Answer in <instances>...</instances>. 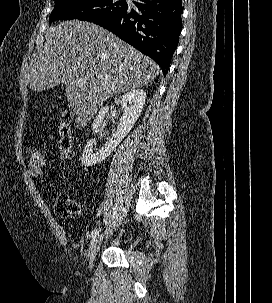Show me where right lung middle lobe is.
Listing matches in <instances>:
<instances>
[{
	"mask_svg": "<svg viewBox=\"0 0 272 303\" xmlns=\"http://www.w3.org/2000/svg\"><path fill=\"white\" fill-rule=\"evenodd\" d=\"M127 8L125 0H56L49 22L71 19L95 22L117 15Z\"/></svg>",
	"mask_w": 272,
	"mask_h": 303,
	"instance_id": "right-lung-middle-lobe-1",
	"label": "right lung middle lobe"
}]
</instances>
